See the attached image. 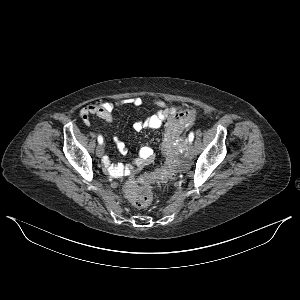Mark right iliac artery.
Here are the masks:
<instances>
[{
    "instance_id": "1",
    "label": "right iliac artery",
    "mask_w": 300,
    "mask_h": 300,
    "mask_svg": "<svg viewBox=\"0 0 300 300\" xmlns=\"http://www.w3.org/2000/svg\"><path fill=\"white\" fill-rule=\"evenodd\" d=\"M98 143L103 144V138L101 135L98 136Z\"/></svg>"
}]
</instances>
